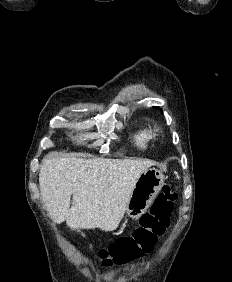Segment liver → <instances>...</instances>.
I'll use <instances>...</instances> for the list:
<instances>
[{"mask_svg":"<svg viewBox=\"0 0 232 282\" xmlns=\"http://www.w3.org/2000/svg\"><path fill=\"white\" fill-rule=\"evenodd\" d=\"M149 160L60 158L47 155L40 168L41 197L54 223L72 230H115L124 217L139 176ZM72 197V205L70 200Z\"/></svg>","mask_w":232,"mask_h":282,"instance_id":"6515ba94","label":"liver"}]
</instances>
